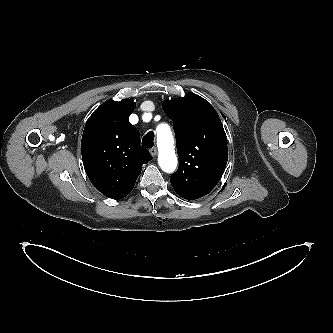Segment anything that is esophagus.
<instances>
[{"mask_svg":"<svg viewBox=\"0 0 333 333\" xmlns=\"http://www.w3.org/2000/svg\"><path fill=\"white\" fill-rule=\"evenodd\" d=\"M149 152L153 157H155L157 155V148L153 147L149 150Z\"/></svg>","mask_w":333,"mask_h":333,"instance_id":"1","label":"esophagus"}]
</instances>
